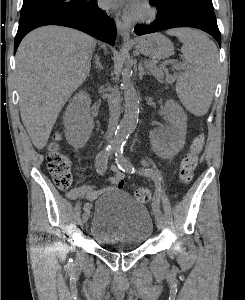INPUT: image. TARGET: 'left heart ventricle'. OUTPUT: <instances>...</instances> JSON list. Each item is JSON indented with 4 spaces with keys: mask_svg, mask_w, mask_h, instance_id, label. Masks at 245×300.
I'll list each match as a JSON object with an SVG mask.
<instances>
[{
    "mask_svg": "<svg viewBox=\"0 0 245 300\" xmlns=\"http://www.w3.org/2000/svg\"><path fill=\"white\" fill-rule=\"evenodd\" d=\"M141 11H142V8H141V6H140V8L138 9V11H137V13H136V14H139V13H141Z\"/></svg>",
    "mask_w": 245,
    "mask_h": 300,
    "instance_id": "left-heart-ventricle-1",
    "label": "left heart ventricle"
}]
</instances>
